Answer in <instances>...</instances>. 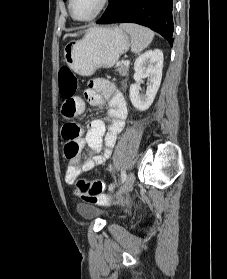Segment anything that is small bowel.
<instances>
[{"instance_id": "c3829d8e", "label": "small bowel", "mask_w": 227, "mask_h": 279, "mask_svg": "<svg viewBox=\"0 0 227 279\" xmlns=\"http://www.w3.org/2000/svg\"><path fill=\"white\" fill-rule=\"evenodd\" d=\"M84 98L85 100L76 98L78 104L76 116L83 114L88 106L103 108L107 103L109 110L104 119H94L87 124L83 138L82 126L75 122L69 123L79 127V134L75 139L79 148L82 149L83 145L87 144L90 149L88 159L83 160L79 155L70 159L65 171V182L69 185L74 184L81 173L89 172L106 162L128 116L125 98L110 81L102 79L91 81Z\"/></svg>"}]
</instances>
